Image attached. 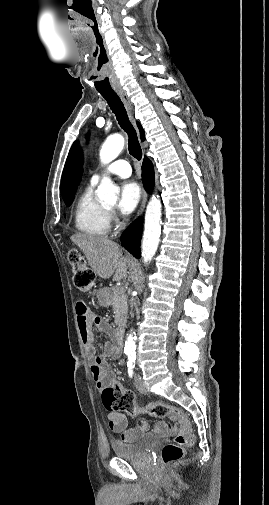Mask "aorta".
Here are the masks:
<instances>
[{
    "mask_svg": "<svg viewBox=\"0 0 269 505\" xmlns=\"http://www.w3.org/2000/svg\"><path fill=\"white\" fill-rule=\"evenodd\" d=\"M125 139L121 134L109 136L103 143L100 150V160L103 164L113 161L123 150ZM119 189L112 183L111 179L104 177L98 187L97 196L101 202L112 204L117 201ZM161 200L159 196H153L146 208L144 234L141 245V254L144 263H149L156 253L161 233ZM135 333H129L125 341V351L134 352Z\"/></svg>",
    "mask_w": 269,
    "mask_h": 505,
    "instance_id": "762f6f07",
    "label": "aorta"
}]
</instances>
